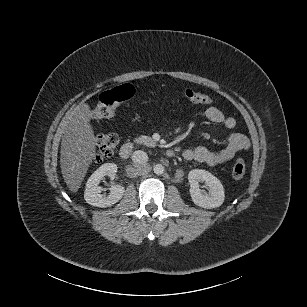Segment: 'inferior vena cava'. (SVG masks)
<instances>
[{
  "label": "inferior vena cava",
  "instance_id": "602c4592",
  "mask_svg": "<svg viewBox=\"0 0 307 307\" xmlns=\"http://www.w3.org/2000/svg\"><path fill=\"white\" fill-rule=\"evenodd\" d=\"M132 161L135 164H144L148 161V155L142 150L135 151L132 155Z\"/></svg>",
  "mask_w": 307,
  "mask_h": 307
}]
</instances>
